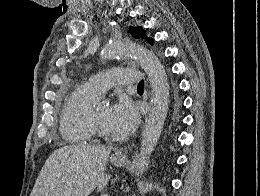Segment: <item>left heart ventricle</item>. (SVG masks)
Here are the masks:
<instances>
[{
    "label": "left heart ventricle",
    "instance_id": "obj_1",
    "mask_svg": "<svg viewBox=\"0 0 260 196\" xmlns=\"http://www.w3.org/2000/svg\"><path fill=\"white\" fill-rule=\"evenodd\" d=\"M109 109L108 105H95V116L100 126L108 132H112L113 130L109 124Z\"/></svg>",
    "mask_w": 260,
    "mask_h": 196
}]
</instances>
